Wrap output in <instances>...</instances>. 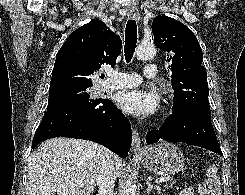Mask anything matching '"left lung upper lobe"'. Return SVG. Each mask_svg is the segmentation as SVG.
<instances>
[{"mask_svg": "<svg viewBox=\"0 0 245 195\" xmlns=\"http://www.w3.org/2000/svg\"><path fill=\"white\" fill-rule=\"evenodd\" d=\"M152 32L156 46L170 53L166 61H172V112L197 109L211 113L207 73L201 65L203 54L196 36L183 23L165 15L153 20Z\"/></svg>", "mask_w": 245, "mask_h": 195, "instance_id": "1", "label": "left lung upper lobe"}]
</instances>
